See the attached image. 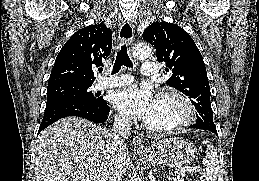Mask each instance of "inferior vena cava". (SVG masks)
Returning a JSON list of instances; mask_svg holds the SVG:
<instances>
[{
  "label": "inferior vena cava",
  "instance_id": "1",
  "mask_svg": "<svg viewBox=\"0 0 259 181\" xmlns=\"http://www.w3.org/2000/svg\"><path fill=\"white\" fill-rule=\"evenodd\" d=\"M113 133L114 147L112 148L111 152L107 179H109V181H120L123 172L121 164V153L126 149V140L130 136V124L128 117H115Z\"/></svg>",
  "mask_w": 259,
  "mask_h": 181
}]
</instances>
